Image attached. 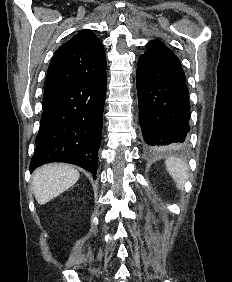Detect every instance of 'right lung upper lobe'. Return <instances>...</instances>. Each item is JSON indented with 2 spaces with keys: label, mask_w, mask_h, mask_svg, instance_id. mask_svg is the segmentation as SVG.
Returning <instances> with one entry per match:
<instances>
[{
  "label": "right lung upper lobe",
  "mask_w": 232,
  "mask_h": 282,
  "mask_svg": "<svg viewBox=\"0 0 232 282\" xmlns=\"http://www.w3.org/2000/svg\"><path fill=\"white\" fill-rule=\"evenodd\" d=\"M103 45L91 30H82L54 54L45 81L43 105L46 107L71 86L106 71Z\"/></svg>",
  "instance_id": "1"
}]
</instances>
